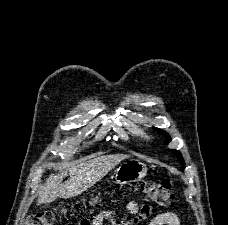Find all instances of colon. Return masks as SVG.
<instances>
[{"label":"colon","mask_w":228,"mask_h":225,"mask_svg":"<svg viewBox=\"0 0 228 225\" xmlns=\"http://www.w3.org/2000/svg\"><path fill=\"white\" fill-rule=\"evenodd\" d=\"M142 190L150 194L159 205H166L174 200V183L171 178L155 179L140 183ZM94 207V204H91ZM56 214L53 210H37L28 219L26 225H56ZM72 225H90L89 220L72 223Z\"/></svg>","instance_id":"obj_1"}]
</instances>
